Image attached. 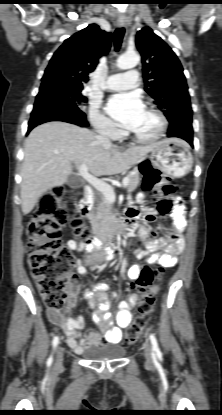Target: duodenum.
<instances>
[{"mask_svg":"<svg viewBox=\"0 0 222 415\" xmlns=\"http://www.w3.org/2000/svg\"><path fill=\"white\" fill-rule=\"evenodd\" d=\"M92 202L93 191L89 186H86L84 187V197L79 204V210L82 215L86 216L91 213ZM131 222V220L125 218L120 221H111L104 227L96 225L95 232L97 237L89 245L88 249L93 251L104 245L109 254L108 257L111 258L117 249V241L128 235Z\"/></svg>","mask_w":222,"mask_h":415,"instance_id":"obj_1","label":"duodenum"}]
</instances>
